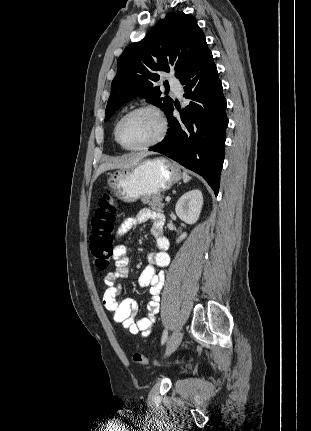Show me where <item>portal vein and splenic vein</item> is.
<instances>
[{"label":"portal vein and splenic vein","instance_id":"obj_1","mask_svg":"<svg viewBox=\"0 0 311 431\" xmlns=\"http://www.w3.org/2000/svg\"><path fill=\"white\" fill-rule=\"evenodd\" d=\"M171 198L170 196H167V198H165V202H170Z\"/></svg>","mask_w":311,"mask_h":431}]
</instances>
